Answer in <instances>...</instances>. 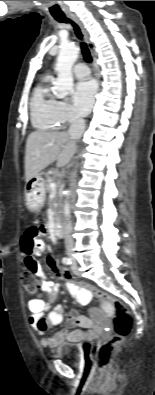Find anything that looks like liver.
Wrapping results in <instances>:
<instances>
[{
  "label": "liver",
  "mask_w": 155,
  "mask_h": 395,
  "mask_svg": "<svg viewBox=\"0 0 155 395\" xmlns=\"http://www.w3.org/2000/svg\"><path fill=\"white\" fill-rule=\"evenodd\" d=\"M75 149V140L66 132L42 130L32 132L26 142V183L55 161L59 167L67 165Z\"/></svg>",
  "instance_id": "liver-1"
}]
</instances>
